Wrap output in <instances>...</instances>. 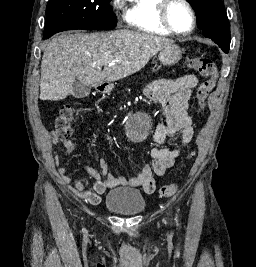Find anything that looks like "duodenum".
Listing matches in <instances>:
<instances>
[{"label":"duodenum","instance_id":"410a0bca","mask_svg":"<svg viewBox=\"0 0 256 267\" xmlns=\"http://www.w3.org/2000/svg\"><path fill=\"white\" fill-rule=\"evenodd\" d=\"M117 82V78H108L107 81H98L97 94H110L112 83Z\"/></svg>","mask_w":256,"mask_h":267}]
</instances>
